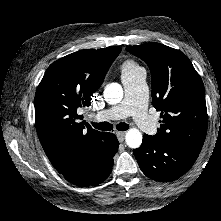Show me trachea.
Segmentation results:
<instances>
[{
  "label": "trachea",
  "mask_w": 221,
  "mask_h": 221,
  "mask_svg": "<svg viewBox=\"0 0 221 221\" xmlns=\"http://www.w3.org/2000/svg\"><path fill=\"white\" fill-rule=\"evenodd\" d=\"M92 125L94 128L102 130V131H110L113 128L112 124H110L108 122H100V123L92 122ZM116 128L119 131H125V130L129 129V125L126 123H119V124H117Z\"/></svg>",
  "instance_id": "trachea-1"
}]
</instances>
